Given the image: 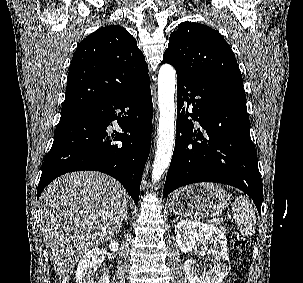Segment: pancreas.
<instances>
[{"instance_id": "cf45deb5", "label": "pancreas", "mask_w": 303, "mask_h": 283, "mask_svg": "<svg viewBox=\"0 0 303 283\" xmlns=\"http://www.w3.org/2000/svg\"><path fill=\"white\" fill-rule=\"evenodd\" d=\"M221 230L224 231L225 229L223 227H221Z\"/></svg>"}]
</instances>
